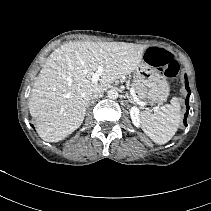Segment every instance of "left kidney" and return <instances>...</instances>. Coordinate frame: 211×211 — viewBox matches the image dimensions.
I'll use <instances>...</instances> for the list:
<instances>
[{
  "mask_svg": "<svg viewBox=\"0 0 211 211\" xmlns=\"http://www.w3.org/2000/svg\"><path fill=\"white\" fill-rule=\"evenodd\" d=\"M130 117H131V120H132V123L134 124V126L140 127V125H141L140 111L137 106L131 107Z\"/></svg>",
  "mask_w": 211,
  "mask_h": 211,
  "instance_id": "5707ae66",
  "label": "left kidney"
}]
</instances>
